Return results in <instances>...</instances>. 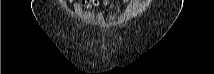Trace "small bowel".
Instances as JSON below:
<instances>
[{"mask_svg":"<svg viewBox=\"0 0 214 74\" xmlns=\"http://www.w3.org/2000/svg\"><path fill=\"white\" fill-rule=\"evenodd\" d=\"M80 4L84 6L87 10L92 11L94 8L98 7L100 4H103L110 8L111 10H116L109 2L107 1H80Z\"/></svg>","mask_w":214,"mask_h":74,"instance_id":"obj_1","label":"small bowel"}]
</instances>
